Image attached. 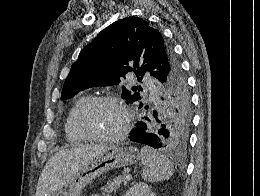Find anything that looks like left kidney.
Segmentation results:
<instances>
[{
	"label": "left kidney",
	"mask_w": 260,
	"mask_h": 196,
	"mask_svg": "<svg viewBox=\"0 0 260 196\" xmlns=\"http://www.w3.org/2000/svg\"><path fill=\"white\" fill-rule=\"evenodd\" d=\"M125 196H156V194L151 192V188L148 184L138 182V184H135V186H132V188L127 190Z\"/></svg>",
	"instance_id": "1"
}]
</instances>
